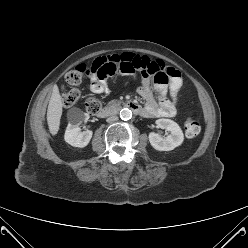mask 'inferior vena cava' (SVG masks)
I'll return each mask as SVG.
<instances>
[{
    "mask_svg": "<svg viewBox=\"0 0 248 248\" xmlns=\"http://www.w3.org/2000/svg\"><path fill=\"white\" fill-rule=\"evenodd\" d=\"M118 120V117L117 116H110L107 118V122L111 123V122H114V121H117Z\"/></svg>",
    "mask_w": 248,
    "mask_h": 248,
    "instance_id": "1",
    "label": "inferior vena cava"
}]
</instances>
